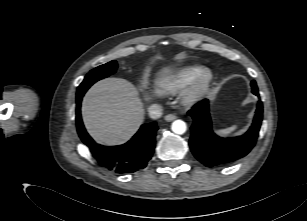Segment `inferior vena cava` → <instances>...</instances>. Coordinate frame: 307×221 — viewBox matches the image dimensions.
Returning <instances> with one entry per match:
<instances>
[{
    "label": "inferior vena cava",
    "instance_id": "inferior-vena-cava-1",
    "mask_svg": "<svg viewBox=\"0 0 307 221\" xmlns=\"http://www.w3.org/2000/svg\"><path fill=\"white\" fill-rule=\"evenodd\" d=\"M162 106L159 104H152L148 108L149 116L152 119H158L162 116Z\"/></svg>",
    "mask_w": 307,
    "mask_h": 221
}]
</instances>
